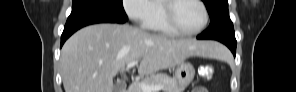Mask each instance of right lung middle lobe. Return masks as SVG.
<instances>
[{
    "instance_id": "dd1d6c3e",
    "label": "right lung middle lobe",
    "mask_w": 296,
    "mask_h": 92,
    "mask_svg": "<svg viewBox=\"0 0 296 92\" xmlns=\"http://www.w3.org/2000/svg\"><path fill=\"white\" fill-rule=\"evenodd\" d=\"M100 11L128 19L122 0H72V12Z\"/></svg>"
}]
</instances>
